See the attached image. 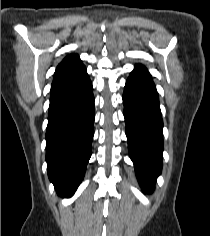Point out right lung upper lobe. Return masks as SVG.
Returning <instances> with one entry per match:
<instances>
[{
  "label": "right lung upper lobe",
  "mask_w": 210,
  "mask_h": 236,
  "mask_svg": "<svg viewBox=\"0 0 210 236\" xmlns=\"http://www.w3.org/2000/svg\"><path fill=\"white\" fill-rule=\"evenodd\" d=\"M82 61L80 60L79 56L77 54H70L66 56L63 61L58 65L55 74L62 72L64 70H67L69 68H72L74 66H77L81 64Z\"/></svg>",
  "instance_id": "obj_1"
}]
</instances>
